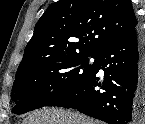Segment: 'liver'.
Listing matches in <instances>:
<instances>
[{
	"instance_id": "6515ba94",
	"label": "liver",
	"mask_w": 145,
	"mask_h": 124,
	"mask_svg": "<svg viewBox=\"0 0 145 124\" xmlns=\"http://www.w3.org/2000/svg\"><path fill=\"white\" fill-rule=\"evenodd\" d=\"M22 124H96L79 113L63 109H44L29 115Z\"/></svg>"
}]
</instances>
